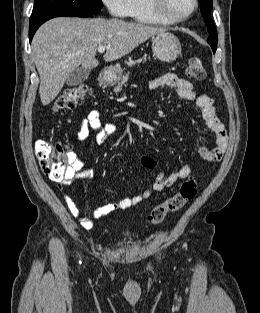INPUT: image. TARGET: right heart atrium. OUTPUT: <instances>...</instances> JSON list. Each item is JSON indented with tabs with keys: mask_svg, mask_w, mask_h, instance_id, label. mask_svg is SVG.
Listing matches in <instances>:
<instances>
[{
	"mask_svg": "<svg viewBox=\"0 0 260 313\" xmlns=\"http://www.w3.org/2000/svg\"><path fill=\"white\" fill-rule=\"evenodd\" d=\"M102 3L114 17L123 18L128 14L129 0H102Z\"/></svg>",
	"mask_w": 260,
	"mask_h": 313,
	"instance_id": "right-heart-atrium-1",
	"label": "right heart atrium"
}]
</instances>
